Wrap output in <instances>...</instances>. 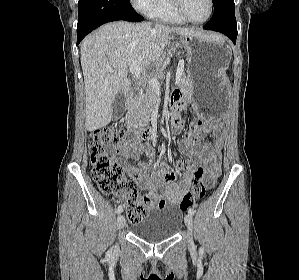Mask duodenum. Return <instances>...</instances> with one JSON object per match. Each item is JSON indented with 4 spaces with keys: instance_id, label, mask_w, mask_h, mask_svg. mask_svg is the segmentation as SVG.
Returning a JSON list of instances; mask_svg holds the SVG:
<instances>
[{
    "instance_id": "duodenum-1",
    "label": "duodenum",
    "mask_w": 299,
    "mask_h": 280,
    "mask_svg": "<svg viewBox=\"0 0 299 280\" xmlns=\"http://www.w3.org/2000/svg\"><path fill=\"white\" fill-rule=\"evenodd\" d=\"M133 98V96L131 97ZM179 95L178 94H174L172 97H171V103L172 104H175L176 107L179 106ZM136 134L139 136V137H148L150 132L149 130L147 129H143V128H140V129H137L136 130Z\"/></svg>"
}]
</instances>
